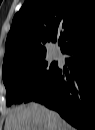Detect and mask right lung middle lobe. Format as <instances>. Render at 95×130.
<instances>
[{
  "label": "right lung middle lobe",
  "mask_w": 95,
  "mask_h": 130,
  "mask_svg": "<svg viewBox=\"0 0 95 130\" xmlns=\"http://www.w3.org/2000/svg\"><path fill=\"white\" fill-rule=\"evenodd\" d=\"M44 58L3 71L7 106L31 101L50 81L58 67L54 64L49 66Z\"/></svg>",
  "instance_id": "1"
}]
</instances>
